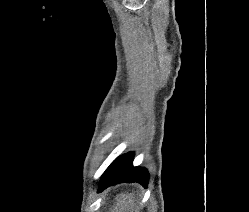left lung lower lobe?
Wrapping results in <instances>:
<instances>
[{"mask_svg":"<svg viewBox=\"0 0 249 212\" xmlns=\"http://www.w3.org/2000/svg\"><path fill=\"white\" fill-rule=\"evenodd\" d=\"M133 153H127L116 158L102 175L98 192L106 187L118 183H140L142 186L148 185V171L142 167H133Z\"/></svg>","mask_w":249,"mask_h":212,"instance_id":"left-lung-lower-lobe-1","label":"left lung lower lobe"}]
</instances>
